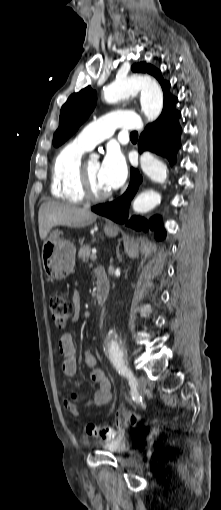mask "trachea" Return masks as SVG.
Segmentation results:
<instances>
[{
	"label": "trachea",
	"instance_id": "trachea-1",
	"mask_svg": "<svg viewBox=\"0 0 221 510\" xmlns=\"http://www.w3.org/2000/svg\"><path fill=\"white\" fill-rule=\"evenodd\" d=\"M130 135H131V136H136V137H137V136H138V133L134 131V132H132Z\"/></svg>",
	"mask_w": 221,
	"mask_h": 510
}]
</instances>
